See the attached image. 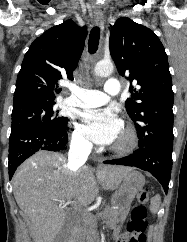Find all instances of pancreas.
I'll use <instances>...</instances> for the list:
<instances>
[{"label":"pancreas","instance_id":"cf45deb5","mask_svg":"<svg viewBox=\"0 0 187 242\" xmlns=\"http://www.w3.org/2000/svg\"><path fill=\"white\" fill-rule=\"evenodd\" d=\"M100 213L98 215H94L92 213H84L81 216L80 220L78 221L74 229L76 242L94 241V237L97 234V219L99 216L104 219V222L107 225L112 226V217L114 215V212L110 208H105Z\"/></svg>","mask_w":187,"mask_h":242}]
</instances>
